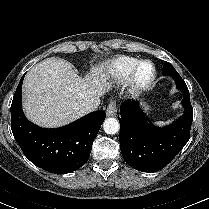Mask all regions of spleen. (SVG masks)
Wrapping results in <instances>:
<instances>
[{
    "mask_svg": "<svg viewBox=\"0 0 209 209\" xmlns=\"http://www.w3.org/2000/svg\"><path fill=\"white\" fill-rule=\"evenodd\" d=\"M171 122H172V119H171V120H168V121H166V122L157 121V122H154V125L159 126V127H162V126L167 125V124H169V123H171Z\"/></svg>",
    "mask_w": 209,
    "mask_h": 209,
    "instance_id": "spleen-1",
    "label": "spleen"
}]
</instances>
